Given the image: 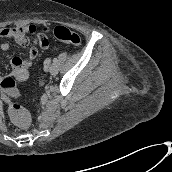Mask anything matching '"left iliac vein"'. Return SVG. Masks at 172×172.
Wrapping results in <instances>:
<instances>
[{"label": "left iliac vein", "mask_w": 172, "mask_h": 172, "mask_svg": "<svg viewBox=\"0 0 172 172\" xmlns=\"http://www.w3.org/2000/svg\"><path fill=\"white\" fill-rule=\"evenodd\" d=\"M45 69L49 71L52 75H56L58 73V68L55 64L46 65Z\"/></svg>", "instance_id": "1"}]
</instances>
